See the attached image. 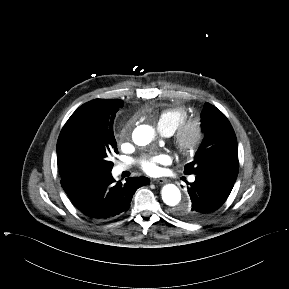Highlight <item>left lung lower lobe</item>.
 <instances>
[{
    "label": "left lung lower lobe",
    "mask_w": 289,
    "mask_h": 289,
    "mask_svg": "<svg viewBox=\"0 0 289 289\" xmlns=\"http://www.w3.org/2000/svg\"><path fill=\"white\" fill-rule=\"evenodd\" d=\"M234 182L218 175H197L195 181L188 187L192 204L183 214V218L198 221L212 214L225 202Z\"/></svg>",
    "instance_id": "obj_1"
}]
</instances>
